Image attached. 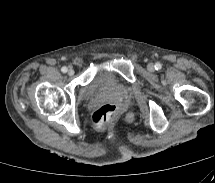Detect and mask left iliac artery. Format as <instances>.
Here are the masks:
<instances>
[{
  "instance_id": "1",
  "label": "left iliac artery",
  "mask_w": 215,
  "mask_h": 183,
  "mask_svg": "<svg viewBox=\"0 0 215 183\" xmlns=\"http://www.w3.org/2000/svg\"><path fill=\"white\" fill-rule=\"evenodd\" d=\"M161 68H162L161 63L157 62V63L155 64V69H156V70H160Z\"/></svg>"
}]
</instances>
